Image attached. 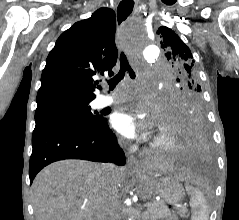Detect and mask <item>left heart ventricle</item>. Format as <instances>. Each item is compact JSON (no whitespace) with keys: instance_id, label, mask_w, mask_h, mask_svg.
<instances>
[{"instance_id":"obj_1","label":"left heart ventricle","mask_w":239,"mask_h":220,"mask_svg":"<svg viewBox=\"0 0 239 220\" xmlns=\"http://www.w3.org/2000/svg\"><path fill=\"white\" fill-rule=\"evenodd\" d=\"M162 136H163V131H160V132L156 135L155 140H156V139H161Z\"/></svg>"}]
</instances>
